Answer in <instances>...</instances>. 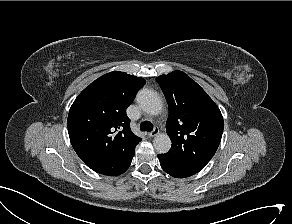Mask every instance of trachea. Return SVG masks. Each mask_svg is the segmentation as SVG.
<instances>
[{
    "instance_id": "obj_1",
    "label": "trachea",
    "mask_w": 292,
    "mask_h": 224,
    "mask_svg": "<svg viewBox=\"0 0 292 224\" xmlns=\"http://www.w3.org/2000/svg\"><path fill=\"white\" fill-rule=\"evenodd\" d=\"M153 124L151 123V122H149V121H145V122H142L141 124H140V129L142 130V131H152L153 130Z\"/></svg>"
}]
</instances>
